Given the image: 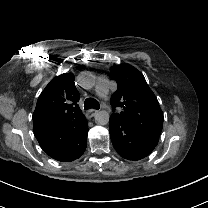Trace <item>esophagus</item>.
I'll return each mask as SVG.
<instances>
[{"mask_svg":"<svg viewBox=\"0 0 208 208\" xmlns=\"http://www.w3.org/2000/svg\"><path fill=\"white\" fill-rule=\"evenodd\" d=\"M97 113H98V110H96V109H90V110L87 111V116H88V118H92V117H94Z\"/></svg>","mask_w":208,"mask_h":208,"instance_id":"esophagus-1","label":"esophagus"}]
</instances>
